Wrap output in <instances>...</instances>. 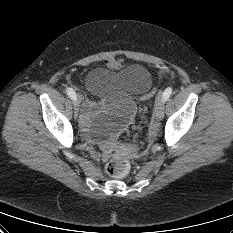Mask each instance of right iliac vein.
I'll use <instances>...</instances> for the list:
<instances>
[{
    "instance_id": "1",
    "label": "right iliac vein",
    "mask_w": 233,
    "mask_h": 233,
    "mask_svg": "<svg viewBox=\"0 0 233 233\" xmlns=\"http://www.w3.org/2000/svg\"><path fill=\"white\" fill-rule=\"evenodd\" d=\"M81 102V96L80 95H77L76 96V99L74 100V110H75V114H74V117L77 118L78 116V111H79V104Z\"/></svg>"
}]
</instances>
